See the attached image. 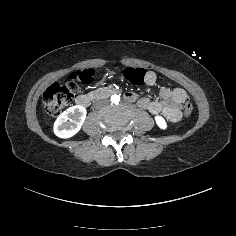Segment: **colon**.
Returning a JSON list of instances; mask_svg holds the SVG:
<instances>
[{"mask_svg": "<svg viewBox=\"0 0 236 236\" xmlns=\"http://www.w3.org/2000/svg\"><path fill=\"white\" fill-rule=\"evenodd\" d=\"M96 71L94 69L77 70L70 75L69 82L65 84H52L44 93V106L47 112L52 116L59 115L63 109L71 102L77 88L81 84H90ZM125 78L135 85H140L145 79L149 78L146 71L142 68H126ZM152 79L156 81L153 75ZM184 115L190 116L192 113V104L189 99L183 102Z\"/></svg>", "mask_w": 236, "mask_h": 236, "instance_id": "1", "label": "colon"}]
</instances>
